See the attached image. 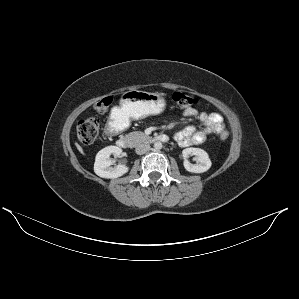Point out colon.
Listing matches in <instances>:
<instances>
[{"label":"colon","instance_id":"5ec220e1","mask_svg":"<svg viewBox=\"0 0 299 299\" xmlns=\"http://www.w3.org/2000/svg\"><path fill=\"white\" fill-rule=\"evenodd\" d=\"M172 100L173 103L180 108H190L196 104L194 98L182 92H175L172 96ZM111 103L112 99L105 97L94 105V109L98 114L103 115L108 111ZM99 131L100 122L95 117L83 119L79 121L77 125V137L79 141L85 145L92 144L98 137ZM219 138L226 140L228 138V132L226 130L222 131L219 134Z\"/></svg>","mask_w":299,"mask_h":299}]
</instances>
